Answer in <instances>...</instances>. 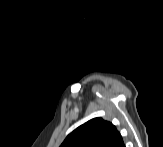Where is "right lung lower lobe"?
<instances>
[{"label":"right lung lower lobe","instance_id":"98d812e1","mask_svg":"<svg viewBox=\"0 0 163 147\" xmlns=\"http://www.w3.org/2000/svg\"><path fill=\"white\" fill-rule=\"evenodd\" d=\"M116 147H125L124 143H123V140L121 142H119Z\"/></svg>","mask_w":163,"mask_h":147}]
</instances>
